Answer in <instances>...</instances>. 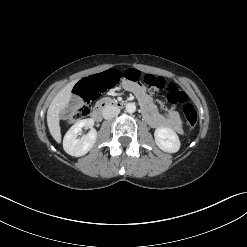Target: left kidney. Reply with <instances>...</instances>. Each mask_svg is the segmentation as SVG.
<instances>
[{
	"mask_svg": "<svg viewBox=\"0 0 247 247\" xmlns=\"http://www.w3.org/2000/svg\"><path fill=\"white\" fill-rule=\"evenodd\" d=\"M154 137L157 146L164 152L175 153L180 149L179 137L171 128L158 127Z\"/></svg>",
	"mask_w": 247,
	"mask_h": 247,
	"instance_id": "left-kidney-1",
	"label": "left kidney"
}]
</instances>
